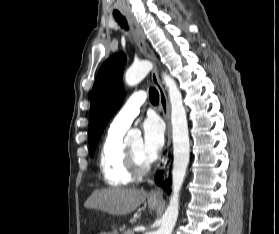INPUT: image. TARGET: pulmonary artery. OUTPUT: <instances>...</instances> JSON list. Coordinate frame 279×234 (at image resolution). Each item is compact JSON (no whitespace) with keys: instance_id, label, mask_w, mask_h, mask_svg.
<instances>
[{"instance_id":"e3ab8cb5","label":"pulmonary artery","mask_w":279,"mask_h":234,"mask_svg":"<svg viewBox=\"0 0 279 234\" xmlns=\"http://www.w3.org/2000/svg\"><path fill=\"white\" fill-rule=\"evenodd\" d=\"M145 100L146 94L142 91L132 94L112 120L110 130L125 132L134 118L139 114L140 107Z\"/></svg>"}]
</instances>
